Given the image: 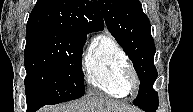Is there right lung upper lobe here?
<instances>
[{
	"mask_svg": "<svg viewBox=\"0 0 193 112\" xmlns=\"http://www.w3.org/2000/svg\"><path fill=\"white\" fill-rule=\"evenodd\" d=\"M41 29L90 33L104 29L97 0H37L26 31Z\"/></svg>",
	"mask_w": 193,
	"mask_h": 112,
	"instance_id": "1",
	"label": "right lung upper lobe"
}]
</instances>
